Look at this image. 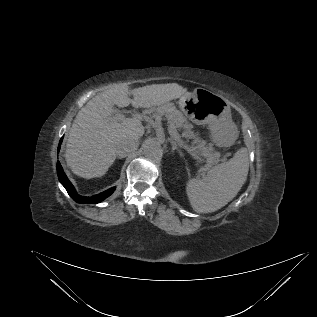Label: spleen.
<instances>
[{
  "mask_svg": "<svg viewBox=\"0 0 317 317\" xmlns=\"http://www.w3.org/2000/svg\"><path fill=\"white\" fill-rule=\"evenodd\" d=\"M249 170L248 151L239 149L227 162L211 168L205 179H190L186 193L197 213L217 211L240 191Z\"/></svg>",
  "mask_w": 317,
  "mask_h": 317,
  "instance_id": "3e777b00",
  "label": "spleen"
}]
</instances>
